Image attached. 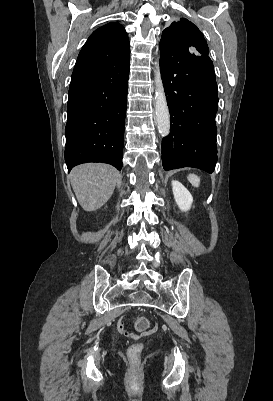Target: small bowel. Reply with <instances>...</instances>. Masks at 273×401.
Masks as SVG:
<instances>
[{"instance_id":"c3829d8e","label":"small bowel","mask_w":273,"mask_h":401,"mask_svg":"<svg viewBox=\"0 0 273 401\" xmlns=\"http://www.w3.org/2000/svg\"><path fill=\"white\" fill-rule=\"evenodd\" d=\"M127 316H130V313H127ZM115 323H116V328L119 329L118 331L121 334V336L123 338H126L128 336V333L126 331H128V330H126V328H125V324H124L125 320L123 318H117L115 320ZM159 327H160V324L159 323H155L154 327L152 326V327L149 328V330H148L149 332L148 331H143L141 333V336L143 338H148L149 337V333L152 334V335L153 334H157L159 332V329H158Z\"/></svg>"}]
</instances>
